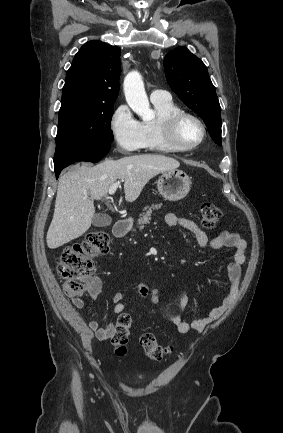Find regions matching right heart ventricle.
Here are the masks:
<instances>
[{
    "label": "right heart ventricle",
    "mask_w": 283,
    "mask_h": 433,
    "mask_svg": "<svg viewBox=\"0 0 283 433\" xmlns=\"http://www.w3.org/2000/svg\"><path fill=\"white\" fill-rule=\"evenodd\" d=\"M153 106L156 114L155 119L142 123L147 142L150 145H156L159 151L174 152L165 141L164 128L169 116L181 109L172 99L153 103Z\"/></svg>",
    "instance_id": "right-heart-ventricle-1"
}]
</instances>
